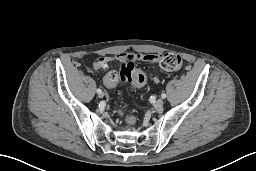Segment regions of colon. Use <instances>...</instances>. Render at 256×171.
Here are the masks:
<instances>
[{"instance_id":"obj_1","label":"colon","mask_w":256,"mask_h":171,"mask_svg":"<svg viewBox=\"0 0 256 171\" xmlns=\"http://www.w3.org/2000/svg\"><path fill=\"white\" fill-rule=\"evenodd\" d=\"M159 64L161 68L168 71L177 70L181 67L182 60L179 55L174 53H165L160 56ZM95 69L98 71L107 70V65L99 61L95 64ZM108 80L111 83H131L133 86L140 87L146 83V74L141 69H138L132 63L122 64L119 71H112L108 74ZM119 115L125 117L128 123H132L134 118L126 115L123 110H119Z\"/></svg>"}]
</instances>
